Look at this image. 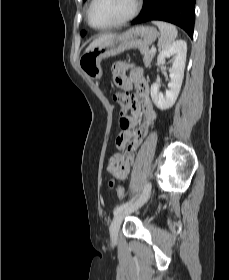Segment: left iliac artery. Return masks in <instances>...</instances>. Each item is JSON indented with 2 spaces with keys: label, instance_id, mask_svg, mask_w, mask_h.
Segmentation results:
<instances>
[{
  "label": "left iliac artery",
  "instance_id": "44dca946",
  "mask_svg": "<svg viewBox=\"0 0 229 280\" xmlns=\"http://www.w3.org/2000/svg\"><path fill=\"white\" fill-rule=\"evenodd\" d=\"M134 199H135V198L131 199V200H130L129 202H127V203H123V204H121L120 206L116 207V208L114 209L113 214H114V215H117L120 211H122L123 209H125L126 207H128L129 205H131L132 202L134 201Z\"/></svg>",
  "mask_w": 229,
  "mask_h": 280
}]
</instances>
